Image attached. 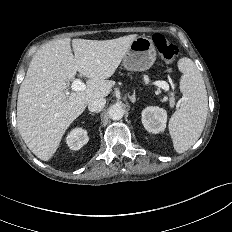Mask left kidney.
I'll return each mask as SVG.
<instances>
[{"label":"left kidney","instance_id":"left-kidney-1","mask_svg":"<svg viewBox=\"0 0 232 232\" xmlns=\"http://www.w3.org/2000/svg\"><path fill=\"white\" fill-rule=\"evenodd\" d=\"M167 112L165 109L150 106L142 111V123L148 132L157 134L166 128Z\"/></svg>","mask_w":232,"mask_h":232}]
</instances>
